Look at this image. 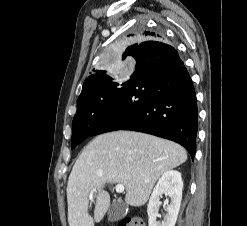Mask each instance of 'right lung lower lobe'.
I'll list each match as a JSON object with an SVG mask.
<instances>
[{"label":"right lung lower lobe","mask_w":247,"mask_h":226,"mask_svg":"<svg viewBox=\"0 0 247 226\" xmlns=\"http://www.w3.org/2000/svg\"><path fill=\"white\" fill-rule=\"evenodd\" d=\"M136 69L93 135L134 130L181 144L192 159L196 149L197 99L190 75L172 46L148 40L133 55Z\"/></svg>","instance_id":"right-lung-lower-lobe-1"}]
</instances>
